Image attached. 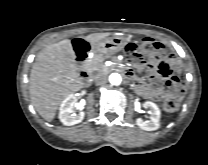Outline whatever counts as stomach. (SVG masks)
<instances>
[{"instance_id":"1","label":"stomach","mask_w":208,"mask_h":165,"mask_svg":"<svg viewBox=\"0 0 208 165\" xmlns=\"http://www.w3.org/2000/svg\"><path fill=\"white\" fill-rule=\"evenodd\" d=\"M127 42L128 40L125 37L114 36L93 44L92 48L96 52L113 54L122 50Z\"/></svg>"}]
</instances>
